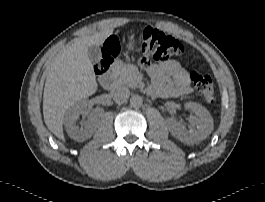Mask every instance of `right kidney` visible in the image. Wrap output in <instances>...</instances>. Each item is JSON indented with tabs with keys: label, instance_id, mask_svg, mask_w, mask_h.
<instances>
[{
	"label": "right kidney",
	"instance_id": "obj_1",
	"mask_svg": "<svg viewBox=\"0 0 265 202\" xmlns=\"http://www.w3.org/2000/svg\"><path fill=\"white\" fill-rule=\"evenodd\" d=\"M103 113L104 111L101 108L90 111L89 101L86 99L76 102L69 108L64 117V125L68 136L78 142L90 139L96 131ZM80 114L89 115V120L85 122L82 128H79L76 123Z\"/></svg>",
	"mask_w": 265,
	"mask_h": 202
}]
</instances>
